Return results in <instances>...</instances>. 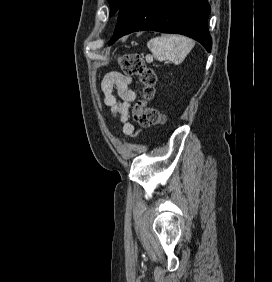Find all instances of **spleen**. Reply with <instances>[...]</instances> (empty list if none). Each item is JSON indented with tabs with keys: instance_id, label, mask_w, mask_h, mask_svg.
Returning <instances> with one entry per match:
<instances>
[{
	"instance_id": "3e777b00",
	"label": "spleen",
	"mask_w": 272,
	"mask_h": 282,
	"mask_svg": "<svg viewBox=\"0 0 272 282\" xmlns=\"http://www.w3.org/2000/svg\"><path fill=\"white\" fill-rule=\"evenodd\" d=\"M194 45L191 39L177 35H162L147 43L154 58L157 60L170 59L175 64L181 63Z\"/></svg>"
}]
</instances>
